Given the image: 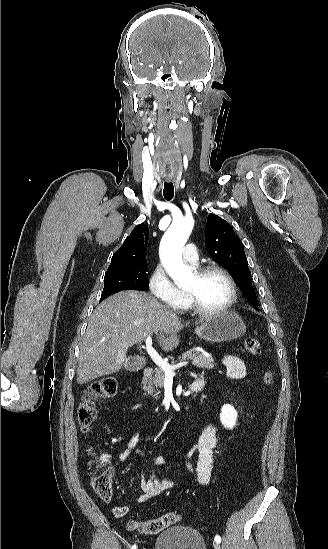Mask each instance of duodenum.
I'll use <instances>...</instances> for the list:
<instances>
[{"label": "duodenum", "instance_id": "1", "mask_svg": "<svg viewBox=\"0 0 328 549\" xmlns=\"http://www.w3.org/2000/svg\"><path fill=\"white\" fill-rule=\"evenodd\" d=\"M153 373V369L151 367H146L143 369V378L147 379L149 378ZM205 385V380L203 377H198L189 387V391L191 393H197L199 392Z\"/></svg>", "mask_w": 328, "mask_h": 549}]
</instances>
